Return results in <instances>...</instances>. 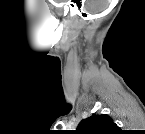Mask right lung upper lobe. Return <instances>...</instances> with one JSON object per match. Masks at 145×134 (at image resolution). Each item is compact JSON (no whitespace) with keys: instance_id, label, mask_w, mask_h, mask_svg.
Wrapping results in <instances>:
<instances>
[{"instance_id":"1","label":"right lung upper lobe","mask_w":145,"mask_h":134,"mask_svg":"<svg viewBox=\"0 0 145 134\" xmlns=\"http://www.w3.org/2000/svg\"><path fill=\"white\" fill-rule=\"evenodd\" d=\"M119 127L107 114H93L87 119L82 120L75 133L76 134H116Z\"/></svg>"}]
</instances>
